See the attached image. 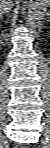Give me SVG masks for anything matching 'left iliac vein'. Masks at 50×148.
Here are the masks:
<instances>
[{
  "label": "left iliac vein",
  "instance_id": "4c4485c4",
  "mask_svg": "<svg viewBox=\"0 0 50 148\" xmlns=\"http://www.w3.org/2000/svg\"><path fill=\"white\" fill-rule=\"evenodd\" d=\"M48 127H44V130L47 129Z\"/></svg>",
  "mask_w": 50,
  "mask_h": 148
}]
</instances>
